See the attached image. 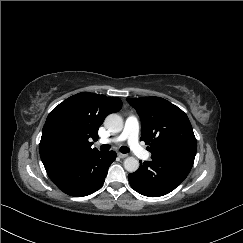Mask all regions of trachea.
Segmentation results:
<instances>
[{
    "label": "trachea",
    "instance_id": "trachea-1",
    "mask_svg": "<svg viewBox=\"0 0 243 243\" xmlns=\"http://www.w3.org/2000/svg\"><path fill=\"white\" fill-rule=\"evenodd\" d=\"M109 149H110V145H101L100 146L101 151H108ZM120 151H121V153L126 154L130 151V149L126 146H121Z\"/></svg>",
    "mask_w": 243,
    "mask_h": 243
}]
</instances>
